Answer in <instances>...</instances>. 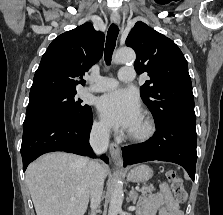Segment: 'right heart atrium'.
Segmentation results:
<instances>
[{"mask_svg":"<svg viewBox=\"0 0 223 215\" xmlns=\"http://www.w3.org/2000/svg\"><path fill=\"white\" fill-rule=\"evenodd\" d=\"M93 130L99 136H104L108 133V127L101 121H96L94 123Z\"/></svg>","mask_w":223,"mask_h":215,"instance_id":"right-heart-atrium-1","label":"right heart atrium"}]
</instances>
